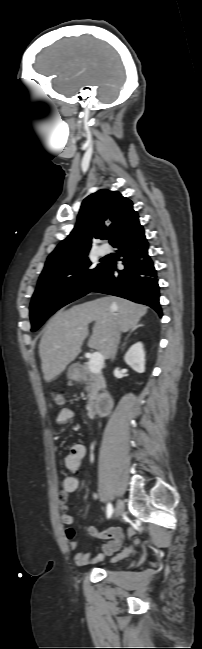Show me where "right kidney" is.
<instances>
[{
    "mask_svg": "<svg viewBox=\"0 0 202 649\" xmlns=\"http://www.w3.org/2000/svg\"><path fill=\"white\" fill-rule=\"evenodd\" d=\"M125 363L138 373L145 371V352L140 342L132 345L124 356Z\"/></svg>",
    "mask_w": 202,
    "mask_h": 649,
    "instance_id": "1",
    "label": "right kidney"
}]
</instances>
